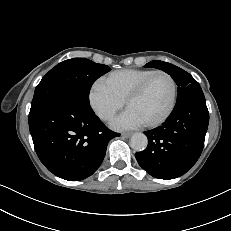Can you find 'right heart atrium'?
<instances>
[{
	"mask_svg": "<svg viewBox=\"0 0 231 231\" xmlns=\"http://www.w3.org/2000/svg\"><path fill=\"white\" fill-rule=\"evenodd\" d=\"M88 99L92 110L103 121L112 120L124 105V101L114 94L102 80L92 84Z\"/></svg>",
	"mask_w": 231,
	"mask_h": 231,
	"instance_id": "1",
	"label": "right heart atrium"
}]
</instances>
